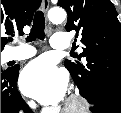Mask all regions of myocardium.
Listing matches in <instances>:
<instances>
[{"label": "myocardium", "instance_id": "1", "mask_svg": "<svg viewBox=\"0 0 121 113\" xmlns=\"http://www.w3.org/2000/svg\"><path fill=\"white\" fill-rule=\"evenodd\" d=\"M88 100L79 93H71L66 101L64 110L75 111V110H86L89 109Z\"/></svg>", "mask_w": 121, "mask_h": 113}]
</instances>
